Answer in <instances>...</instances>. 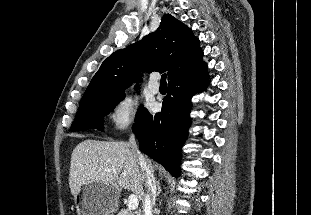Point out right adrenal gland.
<instances>
[{
    "instance_id": "right-adrenal-gland-1",
    "label": "right adrenal gland",
    "mask_w": 311,
    "mask_h": 215,
    "mask_svg": "<svg viewBox=\"0 0 311 215\" xmlns=\"http://www.w3.org/2000/svg\"><path fill=\"white\" fill-rule=\"evenodd\" d=\"M161 187H160V184H159V181L157 182V193H156V196H159L160 193H161Z\"/></svg>"
}]
</instances>
